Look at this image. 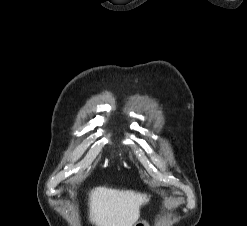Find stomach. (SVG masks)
Here are the masks:
<instances>
[{
	"mask_svg": "<svg viewBox=\"0 0 247 226\" xmlns=\"http://www.w3.org/2000/svg\"><path fill=\"white\" fill-rule=\"evenodd\" d=\"M135 226H148L146 221H139L135 224Z\"/></svg>",
	"mask_w": 247,
	"mask_h": 226,
	"instance_id": "1",
	"label": "stomach"
}]
</instances>
